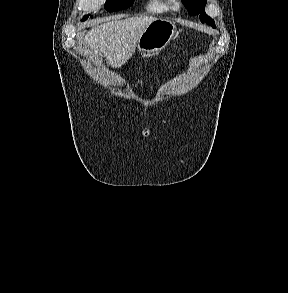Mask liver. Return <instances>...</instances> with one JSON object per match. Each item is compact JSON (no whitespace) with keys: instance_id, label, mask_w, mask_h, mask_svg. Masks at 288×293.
Segmentation results:
<instances>
[{"instance_id":"obj_1","label":"liver","mask_w":288,"mask_h":293,"mask_svg":"<svg viewBox=\"0 0 288 293\" xmlns=\"http://www.w3.org/2000/svg\"><path fill=\"white\" fill-rule=\"evenodd\" d=\"M157 18L137 16L122 20H112L93 27L84 37L93 58L103 53L113 68L124 65L135 52L137 42L146 27Z\"/></svg>"}]
</instances>
